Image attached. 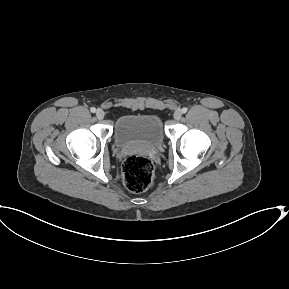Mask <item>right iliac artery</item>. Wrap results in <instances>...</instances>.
I'll return each instance as SVG.
<instances>
[{
	"mask_svg": "<svg viewBox=\"0 0 289 289\" xmlns=\"http://www.w3.org/2000/svg\"><path fill=\"white\" fill-rule=\"evenodd\" d=\"M90 111H91L92 113H95V112H96V108L92 107V108L90 109Z\"/></svg>",
	"mask_w": 289,
	"mask_h": 289,
	"instance_id": "1",
	"label": "right iliac artery"
}]
</instances>
